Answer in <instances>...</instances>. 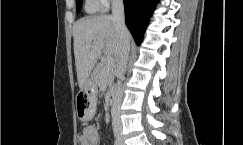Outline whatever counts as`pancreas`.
<instances>
[{
    "label": "pancreas",
    "instance_id": "pancreas-1",
    "mask_svg": "<svg viewBox=\"0 0 243 145\" xmlns=\"http://www.w3.org/2000/svg\"><path fill=\"white\" fill-rule=\"evenodd\" d=\"M114 68L115 65L107 67L105 62L99 63L95 69V81L98 84L111 86L114 80Z\"/></svg>",
    "mask_w": 243,
    "mask_h": 145
}]
</instances>
